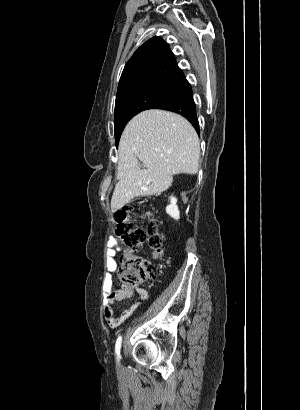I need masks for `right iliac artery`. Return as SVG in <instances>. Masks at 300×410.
I'll list each match as a JSON object with an SVG mask.
<instances>
[{
  "instance_id": "obj_1",
  "label": "right iliac artery",
  "mask_w": 300,
  "mask_h": 410,
  "mask_svg": "<svg viewBox=\"0 0 300 410\" xmlns=\"http://www.w3.org/2000/svg\"><path fill=\"white\" fill-rule=\"evenodd\" d=\"M121 343H122V337L119 336L117 338L116 345H115V353H116V356H117V360H119V357H120Z\"/></svg>"
}]
</instances>
